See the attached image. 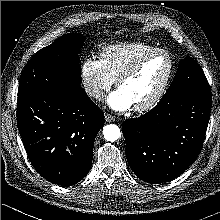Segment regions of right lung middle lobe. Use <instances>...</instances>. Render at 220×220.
Segmentation results:
<instances>
[{"instance_id":"1","label":"right lung middle lobe","mask_w":220,"mask_h":220,"mask_svg":"<svg viewBox=\"0 0 220 220\" xmlns=\"http://www.w3.org/2000/svg\"><path fill=\"white\" fill-rule=\"evenodd\" d=\"M83 42L82 34L70 33L39 50L22 72L18 97L81 89L78 51Z\"/></svg>"}]
</instances>
